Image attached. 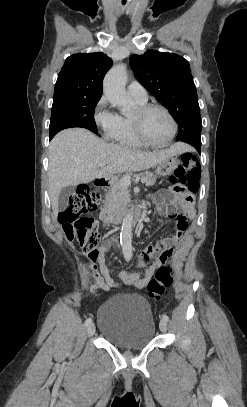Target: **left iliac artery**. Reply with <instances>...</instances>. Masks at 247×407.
<instances>
[{
    "label": "left iliac artery",
    "instance_id": "obj_1",
    "mask_svg": "<svg viewBox=\"0 0 247 407\" xmlns=\"http://www.w3.org/2000/svg\"><path fill=\"white\" fill-rule=\"evenodd\" d=\"M162 319L165 320V321H168V320H169V317L164 314V315L162 316Z\"/></svg>",
    "mask_w": 247,
    "mask_h": 407
}]
</instances>
